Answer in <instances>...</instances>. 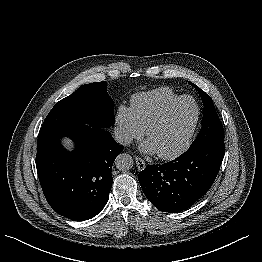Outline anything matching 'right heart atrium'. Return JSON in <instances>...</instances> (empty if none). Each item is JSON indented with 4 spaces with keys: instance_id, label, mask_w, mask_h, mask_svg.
Here are the masks:
<instances>
[{
    "instance_id": "obj_1",
    "label": "right heart atrium",
    "mask_w": 262,
    "mask_h": 262,
    "mask_svg": "<svg viewBox=\"0 0 262 262\" xmlns=\"http://www.w3.org/2000/svg\"><path fill=\"white\" fill-rule=\"evenodd\" d=\"M115 135L123 145H129L144 135V129L136 120L131 108L120 105L115 114Z\"/></svg>"
}]
</instances>
